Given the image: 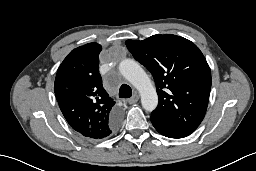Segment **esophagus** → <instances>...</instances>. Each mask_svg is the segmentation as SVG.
<instances>
[{
	"instance_id": "34e87169",
	"label": "esophagus",
	"mask_w": 256,
	"mask_h": 171,
	"mask_svg": "<svg viewBox=\"0 0 256 171\" xmlns=\"http://www.w3.org/2000/svg\"><path fill=\"white\" fill-rule=\"evenodd\" d=\"M139 100V96L138 94H134L130 99H128V103L129 104H134Z\"/></svg>"
}]
</instances>
